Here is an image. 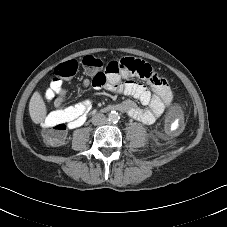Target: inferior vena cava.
Masks as SVG:
<instances>
[{"label":"inferior vena cava","mask_w":227,"mask_h":227,"mask_svg":"<svg viewBox=\"0 0 227 227\" xmlns=\"http://www.w3.org/2000/svg\"><path fill=\"white\" fill-rule=\"evenodd\" d=\"M106 121V117L102 113H97L92 117V123L94 125H104Z\"/></svg>","instance_id":"obj_1"}]
</instances>
